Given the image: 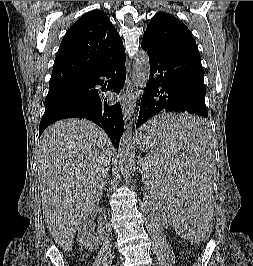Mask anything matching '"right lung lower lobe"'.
Masks as SVG:
<instances>
[{"label":"right lung lower lobe","mask_w":253,"mask_h":266,"mask_svg":"<svg viewBox=\"0 0 253 266\" xmlns=\"http://www.w3.org/2000/svg\"><path fill=\"white\" fill-rule=\"evenodd\" d=\"M100 77L108 79L107 90L119 93L126 78L125 57L104 70L82 79L64 104L43 115L39 125V135L57 120L86 118L99 125L109 136L112 144L118 148L124 130L121 106L120 103L108 105L105 94L95 89L96 85L104 83Z\"/></svg>","instance_id":"98d812e1"}]
</instances>
